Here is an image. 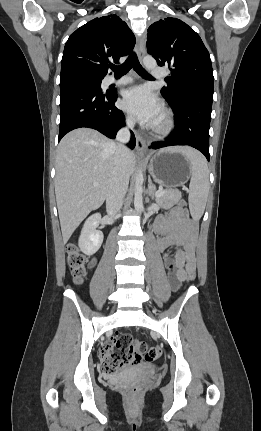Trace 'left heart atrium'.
Wrapping results in <instances>:
<instances>
[{"label":"left heart atrium","mask_w":261,"mask_h":431,"mask_svg":"<svg viewBox=\"0 0 261 431\" xmlns=\"http://www.w3.org/2000/svg\"><path fill=\"white\" fill-rule=\"evenodd\" d=\"M122 107L137 119L149 124L158 123L162 107L154 94L144 86L128 90L123 97Z\"/></svg>","instance_id":"left-heart-atrium-1"}]
</instances>
